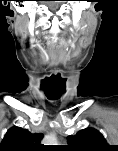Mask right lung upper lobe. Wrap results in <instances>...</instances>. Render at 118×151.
Returning a JSON list of instances; mask_svg holds the SVG:
<instances>
[{
    "instance_id": "cb5924a9",
    "label": "right lung upper lobe",
    "mask_w": 118,
    "mask_h": 151,
    "mask_svg": "<svg viewBox=\"0 0 118 151\" xmlns=\"http://www.w3.org/2000/svg\"><path fill=\"white\" fill-rule=\"evenodd\" d=\"M42 133H30L21 127L10 128L0 144V151H34L41 148L39 144Z\"/></svg>"
}]
</instances>
